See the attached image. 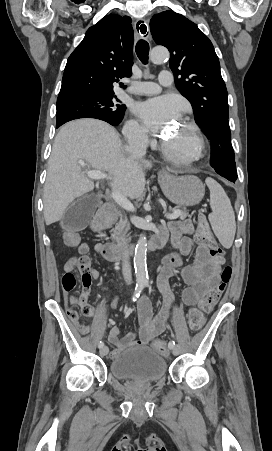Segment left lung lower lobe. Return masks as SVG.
<instances>
[{"label":"left lung lower lobe","mask_w":272,"mask_h":451,"mask_svg":"<svg viewBox=\"0 0 272 451\" xmlns=\"http://www.w3.org/2000/svg\"><path fill=\"white\" fill-rule=\"evenodd\" d=\"M225 178L232 182H234L237 179V178H232V177H225Z\"/></svg>","instance_id":"0a47b994"}]
</instances>
